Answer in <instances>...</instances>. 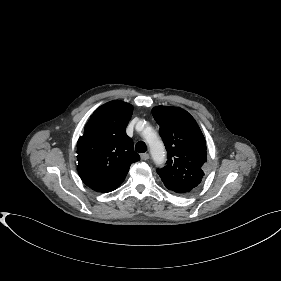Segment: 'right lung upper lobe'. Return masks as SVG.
I'll return each instance as SVG.
<instances>
[{"label":"right lung upper lobe","mask_w":281,"mask_h":281,"mask_svg":"<svg viewBox=\"0 0 281 281\" xmlns=\"http://www.w3.org/2000/svg\"><path fill=\"white\" fill-rule=\"evenodd\" d=\"M133 107L110 101L94 111L77 144V169L82 181L98 192H110L124 181L130 165L140 160L125 128Z\"/></svg>","instance_id":"obj_1"}]
</instances>
